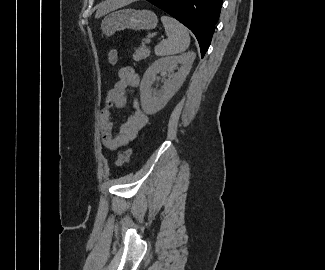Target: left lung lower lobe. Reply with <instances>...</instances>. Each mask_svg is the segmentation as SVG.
<instances>
[{
    "instance_id": "1",
    "label": "left lung lower lobe",
    "mask_w": 325,
    "mask_h": 270,
    "mask_svg": "<svg viewBox=\"0 0 325 270\" xmlns=\"http://www.w3.org/2000/svg\"><path fill=\"white\" fill-rule=\"evenodd\" d=\"M162 9L196 36L201 56L208 50L223 0H147Z\"/></svg>"
}]
</instances>
